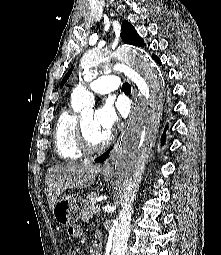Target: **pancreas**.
Instances as JSON below:
<instances>
[{"mask_svg": "<svg viewBox=\"0 0 221 255\" xmlns=\"http://www.w3.org/2000/svg\"><path fill=\"white\" fill-rule=\"evenodd\" d=\"M98 196L99 193L94 191L89 193L83 200V206L81 211L82 220L88 221L89 219L92 218Z\"/></svg>", "mask_w": 221, "mask_h": 255, "instance_id": "pancreas-1", "label": "pancreas"}]
</instances>
